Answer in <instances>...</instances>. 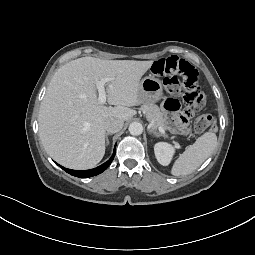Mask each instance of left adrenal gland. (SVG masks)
I'll return each mask as SVG.
<instances>
[{"label":"left adrenal gland","mask_w":255,"mask_h":255,"mask_svg":"<svg viewBox=\"0 0 255 255\" xmlns=\"http://www.w3.org/2000/svg\"><path fill=\"white\" fill-rule=\"evenodd\" d=\"M149 133H153L156 137H159L161 134L157 133L156 131H153L152 129H148Z\"/></svg>","instance_id":"1"}]
</instances>
